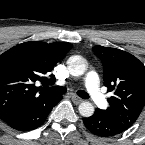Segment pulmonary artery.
Returning a JSON list of instances; mask_svg holds the SVG:
<instances>
[{"instance_id":"1","label":"pulmonary artery","mask_w":145,"mask_h":145,"mask_svg":"<svg viewBox=\"0 0 145 145\" xmlns=\"http://www.w3.org/2000/svg\"><path fill=\"white\" fill-rule=\"evenodd\" d=\"M62 85H66L67 83H61ZM87 92L92 99V101L100 106L104 107L107 105V97L104 92L99 87V77L95 71H90L85 79Z\"/></svg>"}]
</instances>
